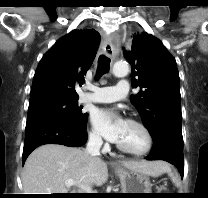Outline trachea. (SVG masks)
Here are the masks:
<instances>
[{
    "instance_id": "obj_1",
    "label": "trachea",
    "mask_w": 208,
    "mask_h": 198,
    "mask_svg": "<svg viewBox=\"0 0 208 198\" xmlns=\"http://www.w3.org/2000/svg\"><path fill=\"white\" fill-rule=\"evenodd\" d=\"M109 69H110V58H108L105 55H101L98 59L96 79H99L103 74L107 73Z\"/></svg>"
}]
</instances>
